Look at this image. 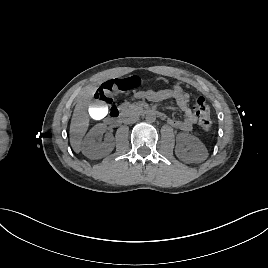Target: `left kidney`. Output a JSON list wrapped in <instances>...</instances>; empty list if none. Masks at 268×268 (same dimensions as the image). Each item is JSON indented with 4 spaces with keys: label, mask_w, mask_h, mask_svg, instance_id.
Returning <instances> with one entry per match:
<instances>
[{
    "label": "left kidney",
    "mask_w": 268,
    "mask_h": 268,
    "mask_svg": "<svg viewBox=\"0 0 268 268\" xmlns=\"http://www.w3.org/2000/svg\"><path fill=\"white\" fill-rule=\"evenodd\" d=\"M175 154L184 162L200 163L207 158L208 152L199 138L188 133H179Z\"/></svg>",
    "instance_id": "left-kidney-1"
}]
</instances>
